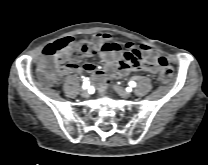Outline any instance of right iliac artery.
<instances>
[{"label": "right iliac artery", "instance_id": "right-iliac-artery-1", "mask_svg": "<svg viewBox=\"0 0 208 165\" xmlns=\"http://www.w3.org/2000/svg\"><path fill=\"white\" fill-rule=\"evenodd\" d=\"M89 86V81L86 80L84 83H83V89H87Z\"/></svg>", "mask_w": 208, "mask_h": 165}]
</instances>
